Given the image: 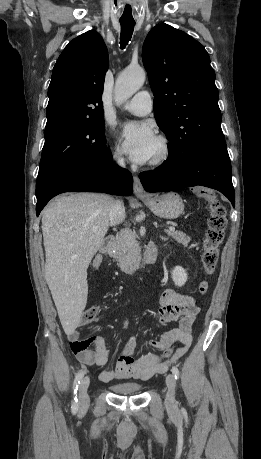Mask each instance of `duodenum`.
I'll return each mask as SVG.
<instances>
[{
  "mask_svg": "<svg viewBox=\"0 0 261 459\" xmlns=\"http://www.w3.org/2000/svg\"><path fill=\"white\" fill-rule=\"evenodd\" d=\"M114 237L108 236L104 239L101 247L100 252L107 257H112L113 247H114ZM158 255V247L155 243H149L141 257V259L133 265L127 267L128 272H134L136 270L143 269L145 267L151 266L155 263Z\"/></svg>",
  "mask_w": 261,
  "mask_h": 459,
  "instance_id": "1",
  "label": "duodenum"
}]
</instances>
